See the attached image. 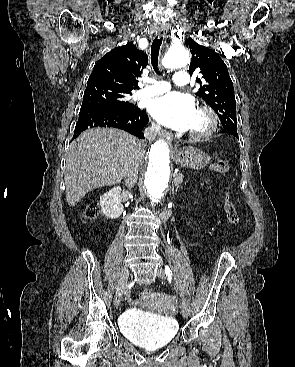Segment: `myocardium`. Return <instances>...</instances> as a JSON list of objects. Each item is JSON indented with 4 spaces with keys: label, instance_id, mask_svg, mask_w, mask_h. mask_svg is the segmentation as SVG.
<instances>
[{
    "label": "myocardium",
    "instance_id": "f54148a6",
    "mask_svg": "<svg viewBox=\"0 0 295 367\" xmlns=\"http://www.w3.org/2000/svg\"><path fill=\"white\" fill-rule=\"evenodd\" d=\"M197 113L204 116L207 121V126L202 131H188V136L196 141L207 140L216 132L218 128V118L216 113L208 106H200Z\"/></svg>",
    "mask_w": 295,
    "mask_h": 367
}]
</instances>
